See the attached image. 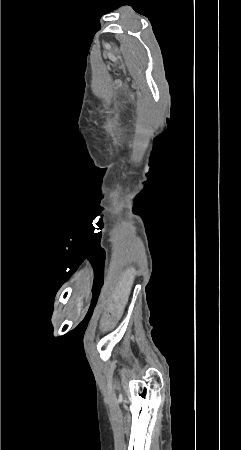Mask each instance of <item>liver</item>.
<instances>
[{
	"mask_svg": "<svg viewBox=\"0 0 241 450\" xmlns=\"http://www.w3.org/2000/svg\"><path fill=\"white\" fill-rule=\"evenodd\" d=\"M136 276V270L135 268H127L125 270L122 278H120V282H118L114 294H113V300L114 302H121L123 306L127 304L129 294L131 292V288L133 286V282L135 280Z\"/></svg>",
	"mask_w": 241,
	"mask_h": 450,
	"instance_id": "obj_1",
	"label": "liver"
}]
</instances>
